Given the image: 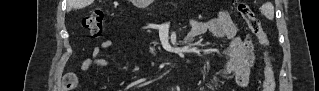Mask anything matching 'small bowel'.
Listing matches in <instances>:
<instances>
[{
	"instance_id": "1",
	"label": "small bowel",
	"mask_w": 319,
	"mask_h": 91,
	"mask_svg": "<svg viewBox=\"0 0 319 91\" xmlns=\"http://www.w3.org/2000/svg\"><path fill=\"white\" fill-rule=\"evenodd\" d=\"M189 25L191 28L190 38L210 32L215 37L228 42V45L221 52L222 63L213 78L220 79L226 75L234 74L238 86L241 88L247 87L256 59L251 35L241 36L238 26L226 12H219L208 21L191 19ZM113 45L114 41L112 39H103L100 46L93 48L90 56L83 60L81 69L88 70L94 66H107L109 61L101 56V50L109 49ZM75 84L74 79L71 81V85L74 86Z\"/></svg>"
}]
</instances>
